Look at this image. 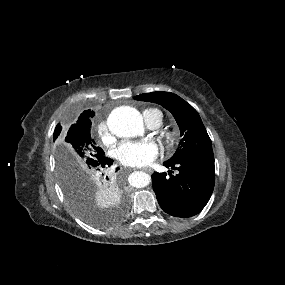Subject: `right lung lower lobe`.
<instances>
[{
  "label": "right lung lower lobe",
  "instance_id": "98d812e1",
  "mask_svg": "<svg viewBox=\"0 0 285 285\" xmlns=\"http://www.w3.org/2000/svg\"><path fill=\"white\" fill-rule=\"evenodd\" d=\"M113 161L111 159H108L107 157L103 156L102 159L100 160L99 164L102 170L107 169L108 167H110V165H112ZM107 180L108 177H107ZM110 181V180H109ZM113 194H117V189L116 190H112L110 191Z\"/></svg>",
  "mask_w": 285,
  "mask_h": 285
}]
</instances>
